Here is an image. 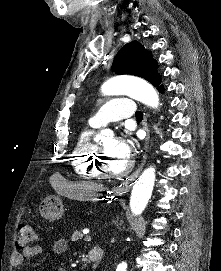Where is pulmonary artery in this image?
Returning a JSON list of instances; mask_svg holds the SVG:
<instances>
[{
    "instance_id": "e3ab8cb5",
    "label": "pulmonary artery",
    "mask_w": 221,
    "mask_h": 271,
    "mask_svg": "<svg viewBox=\"0 0 221 271\" xmlns=\"http://www.w3.org/2000/svg\"><path fill=\"white\" fill-rule=\"evenodd\" d=\"M106 106L97 112L94 122H87V127H106V122H123V117H135L131 98H114ZM82 138H97V133H82Z\"/></svg>"
}]
</instances>
